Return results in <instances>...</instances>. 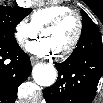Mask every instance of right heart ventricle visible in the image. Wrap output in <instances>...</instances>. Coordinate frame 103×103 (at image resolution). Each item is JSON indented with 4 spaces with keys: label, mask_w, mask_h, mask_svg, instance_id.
<instances>
[{
    "label": "right heart ventricle",
    "mask_w": 103,
    "mask_h": 103,
    "mask_svg": "<svg viewBox=\"0 0 103 103\" xmlns=\"http://www.w3.org/2000/svg\"><path fill=\"white\" fill-rule=\"evenodd\" d=\"M69 11H72V9L66 5H50L32 13L30 22L36 29L41 30L53 19Z\"/></svg>",
    "instance_id": "e07e8e85"
}]
</instances>
